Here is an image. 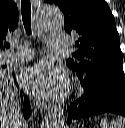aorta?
Instances as JSON below:
<instances>
[{"label": "aorta", "mask_w": 125, "mask_h": 128, "mask_svg": "<svg viewBox=\"0 0 125 128\" xmlns=\"http://www.w3.org/2000/svg\"><path fill=\"white\" fill-rule=\"evenodd\" d=\"M63 24V15L59 8L44 4L35 14V25L41 31H55ZM41 128H65V112L61 106L52 108L44 118Z\"/></svg>", "instance_id": "obj_1"}]
</instances>
